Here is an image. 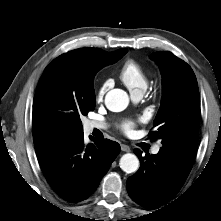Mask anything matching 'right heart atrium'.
I'll use <instances>...</instances> for the list:
<instances>
[{
    "label": "right heart atrium",
    "instance_id": "obj_1",
    "mask_svg": "<svg viewBox=\"0 0 221 221\" xmlns=\"http://www.w3.org/2000/svg\"><path fill=\"white\" fill-rule=\"evenodd\" d=\"M110 84H111L110 80H106L101 84V86L99 87V89L97 91V94H96L97 100H101L104 97V95H105L107 89L109 88Z\"/></svg>",
    "mask_w": 221,
    "mask_h": 221
}]
</instances>
